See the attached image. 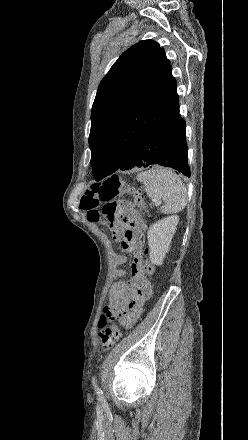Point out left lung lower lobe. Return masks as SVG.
Here are the masks:
<instances>
[{
	"mask_svg": "<svg viewBox=\"0 0 248 440\" xmlns=\"http://www.w3.org/2000/svg\"><path fill=\"white\" fill-rule=\"evenodd\" d=\"M185 121L177 108L140 138L127 152L117 170L159 164L190 177L187 163Z\"/></svg>",
	"mask_w": 248,
	"mask_h": 440,
	"instance_id": "obj_1",
	"label": "left lung lower lobe"
}]
</instances>
